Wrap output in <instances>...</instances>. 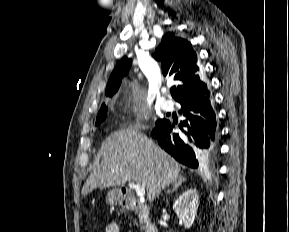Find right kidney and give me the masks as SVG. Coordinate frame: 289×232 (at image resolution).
Masks as SVG:
<instances>
[{"label":"right kidney","instance_id":"ca27d5eb","mask_svg":"<svg viewBox=\"0 0 289 232\" xmlns=\"http://www.w3.org/2000/svg\"><path fill=\"white\" fill-rule=\"evenodd\" d=\"M198 208V192L196 189L184 191L174 202L173 210L178 218L184 223L186 229H189L195 219Z\"/></svg>","mask_w":289,"mask_h":232}]
</instances>
